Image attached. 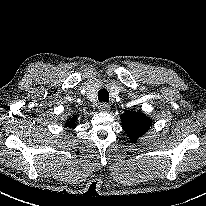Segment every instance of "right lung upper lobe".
Wrapping results in <instances>:
<instances>
[{
	"instance_id": "cb5924a9",
	"label": "right lung upper lobe",
	"mask_w": 206,
	"mask_h": 206,
	"mask_svg": "<svg viewBox=\"0 0 206 206\" xmlns=\"http://www.w3.org/2000/svg\"><path fill=\"white\" fill-rule=\"evenodd\" d=\"M75 121H76V116L72 117L71 120L66 123V126L70 128H74L76 126Z\"/></svg>"
}]
</instances>
